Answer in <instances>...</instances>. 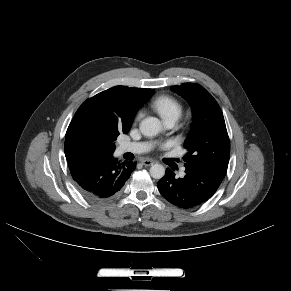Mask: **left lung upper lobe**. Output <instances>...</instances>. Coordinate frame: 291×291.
<instances>
[{"label": "left lung upper lobe", "instance_id": "1", "mask_svg": "<svg viewBox=\"0 0 291 291\" xmlns=\"http://www.w3.org/2000/svg\"><path fill=\"white\" fill-rule=\"evenodd\" d=\"M172 90L192 107L193 130L184 142L185 166L193 165L226 175L230 143L222 111L216 100L200 85L184 83Z\"/></svg>", "mask_w": 291, "mask_h": 291}]
</instances>
